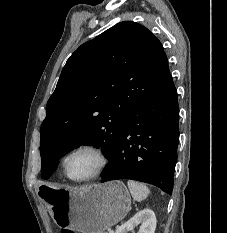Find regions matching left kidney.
<instances>
[{"label": "left kidney", "mask_w": 227, "mask_h": 233, "mask_svg": "<svg viewBox=\"0 0 227 233\" xmlns=\"http://www.w3.org/2000/svg\"><path fill=\"white\" fill-rule=\"evenodd\" d=\"M156 223L155 213L151 209L146 208L118 227L115 233H127L128 231H132L135 226L139 224L141 225L138 233H155Z\"/></svg>", "instance_id": "obj_1"}]
</instances>
